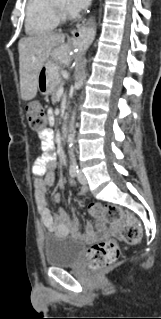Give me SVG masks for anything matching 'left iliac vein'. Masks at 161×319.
Returning <instances> with one entry per match:
<instances>
[{
	"instance_id": "obj_1",
	"label": "left iliac vein",
	"mask_w": 161,
	"mask_h": 319,
	"mask_svg": "<svg viewBox=\"0 0 161 319\" xmlns=\"http://www.w3.org/2000/svg\"><path fill=\"white\" fill-rule=\"evenodd\" d=\"M78 180L83 185H85L87 183V179H86L85 175L81 171L79 172Z\"/></svg>"
}]
</instances>
